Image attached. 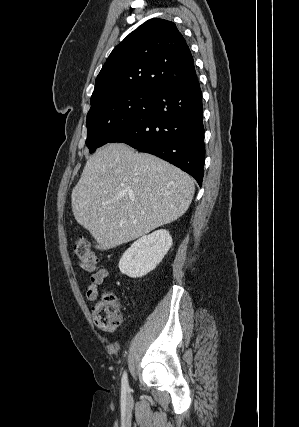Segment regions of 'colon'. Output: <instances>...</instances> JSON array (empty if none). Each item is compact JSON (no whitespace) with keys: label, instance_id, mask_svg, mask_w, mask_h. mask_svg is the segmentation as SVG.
Wrapping results in <instances>:
<instances>
[{"label":"colon","instance_id":"obj_1","mask_svg":"<svg viewBox=\"0 0 299 427\" xmlns=\"http://www.w3.org/2000/svg\"><path fill=\"white\" fill-rule=\"evenodd\" d=\"M74 256L81 266H97L98 259L93 254L90 242L80 236L73 246ZM95 325L104 332L115 331L121 323L120 305L116 296L107 292L92 309Z\"/></svg>","mask_w":299,"mask_h":427}]
</instances>
